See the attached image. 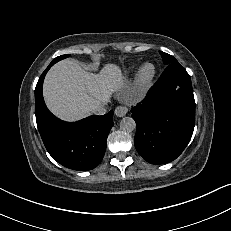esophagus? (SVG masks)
I'll use <instances>...</instances> for the list:
<instances>
[{"label":"esophagus","mask_w":231,"mask_h":231,"mask_svg":"<svg viewBox=\"0 0 231 231\" xmlns=\"http://www.w3.org/2000/svg\"><path fill=\"white\" fill-rule=\"evenodd\" d=\"M114 112L117 117H124L128 113V108L125 106H117Z\"/></svg>","instance_id":"obj_1"}]
</instances>
